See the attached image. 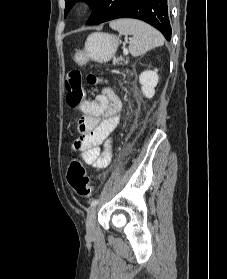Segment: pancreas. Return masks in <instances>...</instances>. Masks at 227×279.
Instances as JSON below:
<instances>
[{
  "instance_id": "cf45deb5",
  "label": "pancreas",
  "mask_w": 227,
  "mask_h": 279,
  "mask_svg": "<svg viewBox=\"0 0 227 279\" xmlns=\"http://www.w3.org/2000/svg\"><path fill=\"white\" fill-rule=\"evenodd\" d=\"M121 61H122V59H121ZM125 62V64H127V61H124ZM122 64V63H121Z\"/></svg>"
}]
</instances>
